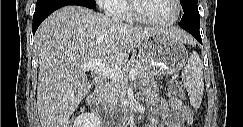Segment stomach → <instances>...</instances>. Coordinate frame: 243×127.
Segmentation results:
<instances>
[{
  "label": "stomach",
  "mask_w": 243,
  "mask_h": 127,
  "mask_svg": "<svg viewBox=\"0 0 243 127\" xmlns=\"http://www.w3.org/2000/svg\"><path fill=\"white\" fill-rule=\"evenodd\" d=\"M138 50L140 62L154 76L174 74L184 67L188 59L182 42L166 33L151 34Z\"/></svg>",
  "instance_id": "1"
}]
</instances>
